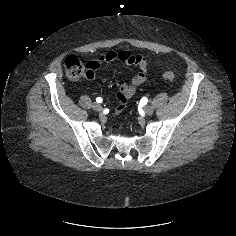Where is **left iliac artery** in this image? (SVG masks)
Masks as SVG:
<instances>
[{"mask_svg":"<svg viewBox=\"0 0 236 236\" xmlns=\"http://www.w3.org/2000/svg\"><path fill=\"white\" fill-rule=\"evenodd\" d=\"M147 101H148V99H147L146 97H143V98H142V102L145 103V102H147Z\"/></svg>","mask_w":236,"mask_h":236,"instance_id":"obj_1","label":"left iliac artery"}]
</instances>
